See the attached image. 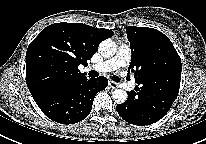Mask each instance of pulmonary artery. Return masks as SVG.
I'll use <instances>...</instances> for the list:
<instances>
[{"mask_svg":"<svg viewBox=\"0 0 206 144\" xmlns=\"http://www.w3.org/2000/svg\"><path fill=\"white\" fill-rule=\"evenodd\" d=\"M131 59V50L127 45H121L115 56L112 58L93 65L92 68L99 72H110L120 67H125L129 64Z\"/></svg>","mask_w":206,"mask_h":144,"instance_id":"1","label":"pulmonary artery"}]
</instances>
